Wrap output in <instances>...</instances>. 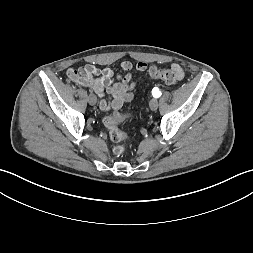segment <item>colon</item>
<instances>
[{
	"label": "colon",
	"mask_w": 253,
	"mask_h": 253,
	"mask_svg": "<svg viewBox=\"0 0 253 253\" xmlns=\"http://www.w3.org/2000/svg\"><path fill=\"white\" fill-rule=\"evenodd\" d=\"M149 75L152 78H157L162 80L168 85H176L183 78V72L180 68L171 67V68H151ZM127 118L123 114H114L112 116H107L104 118L103 123L106 127L109 137L113 142H121L127 138V135L120 129V124L123 120ZM124 151L122 146H117L115 148V153L121 154Z\"/></svg>",
	"instance_id": "5ec220e1"
}]
</instances>
